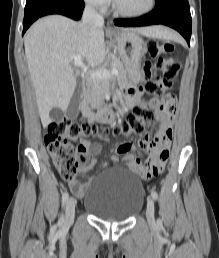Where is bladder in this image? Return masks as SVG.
Returning <instances> with one entry per match:
<instances>
[{
  "label": "bladder",
  "mask_w": 219,
  "mask_h": 258,
  "mask_svg": "<svg viewBox=\"0 0 219 258\" xmlns=\"http://www.w3.org/2000/svg\"><path fill=\"white\" fill-rule=\"evenodd\" d=\"M144 187L133 172L113 168L92 178L83 198V207L92 215L110 222L124 221L139 211Z\"/></svg>",
  "instance_id": "1"
}]
</instances>
